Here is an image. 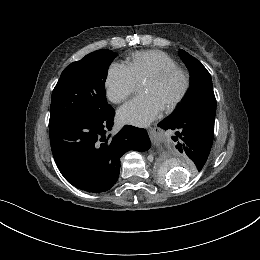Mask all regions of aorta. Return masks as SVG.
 I'll list each match as a JSON object with an SVG mask.
<instances>
[{
	"label": "aorta",
	"instance_id": "obj_1",
	"mask_svg": "<svg viewBox=\"0 0 260 260\" xmlns=\"http://www.w3.org/2000/svg\"><path fill=\"white\" fill-rule=\"evenodd\" d=\"M187 166V161L183 157L174 155L162 165L161 175L168 184L179 185L191 176Z\"/></svg>",
	"mask_w": 260,
	"mask_h": 260
}]
</instances>
